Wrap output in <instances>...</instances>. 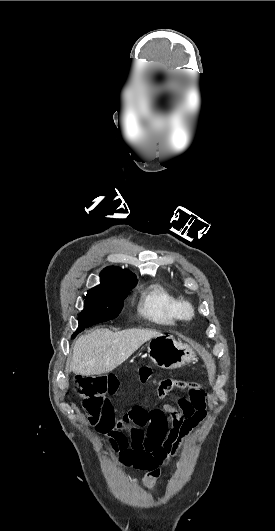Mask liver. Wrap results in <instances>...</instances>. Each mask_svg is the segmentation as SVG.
I'll use <instances>...</instances> for the list:
<instances>
[{
	"label": "liver",
	"instance_id": "obj_1",
	"mask_svg": "<svg viewBox=\"0 0 275 531\" xmlns=\"http://www.w3.org/2000/svg\"><path fill=\"white\" fill-rule=\"evenodd\" d=\"M158 335L151 329H125L119 333L96 329L90 335H81L74 343L70 371L85 377L111 373L143 343Z\"/></svg>",
	"mask_w": 275,
	"mask_h": 531
}]
</instances>
